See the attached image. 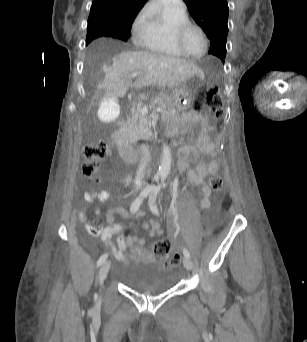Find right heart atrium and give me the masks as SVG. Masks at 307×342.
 <instances>
[{"label":"right heart atrium","instance_id":"d8ad5b80","mask_svg":"<svg viewBox=\"0 0 307 342\" xmlns=\"http://www.w3.org/2000/svg\"><path fill=\"white\" fill-rule=\"evenodd\" d=\"M152 36L143 13H139L130 23L129 37L132 42Z\"/></svg>","mask_w":307,"mask_h":342}]
</instances>
